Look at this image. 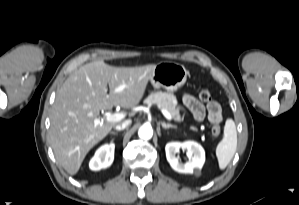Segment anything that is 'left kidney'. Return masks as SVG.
I'll return each mask as SVG.
<instances>
[{
  "label": "left kidney",
  "mask_w": 299,
  "mask_h": 205,
  "mask_svg": "<svg viewBox=\"0 0 299 205\" xmlns=\"http://www.w3.org/2000/svg\"><path fill=\"white\" fill-rule=\"evenodd\" d=\"M180 148L187 151L191 161L181 163L176 157ZM166 158L172 169L179 173H193L195 169H201L205 162V151L203 147L194 141L170 142L165 147Z\"/></svg>",
  "instance_id": "obj_1"
}]
</instances>
